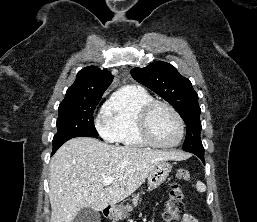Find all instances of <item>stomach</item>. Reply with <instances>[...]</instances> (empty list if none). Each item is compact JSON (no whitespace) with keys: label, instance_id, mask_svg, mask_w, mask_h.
<instances>
[{"label":"stomach","instance_id":"obj_1","mask_svg":"<svg viewBox=\"0 0 257 222\" xmlns=\"http://www.w3.org/2000/svg\"><path fill=\"white\" fill-rule=\"evenodd\" d=\"M172 166L167 161L157 163L147 176V183L150 190L159 187L168 177ZM126 211L123 208L114 207L109 216L113 220H121L126 217Z\"/></svg>","mask_w":257,"mask_h":222}]
</instances>
